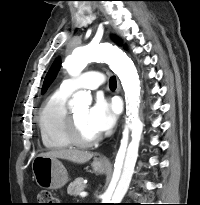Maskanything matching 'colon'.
Returning <instances> with one entry per match:
<instances>
[{
	"label": "colon",
	"instance_id": "colon-1",
	"mask_svg": "<svg viewBox=\"0 0 200 205\" xmlns=\"http://www.w3.org/2000/svg\"><path fill=\"white\" fill-rule=\"evenodd\" d=\"M37 205H55L52 194L47 190L39 192Z\"/></svg>",
	"mask_w": 200,
	"mask_h": 205
}]
</instances>
